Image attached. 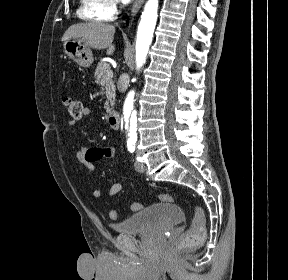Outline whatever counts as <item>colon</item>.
<instances>
[{
  "mask_svg": "<svg viewBox=\"0 0 288 280\" xmlns=\"http://www.w3.org/2000/svg\"><path fill=\"white\" fill-rule=\"evenodd\" d=\"M63 105L68 111L69 115L74 119H80L83 116V105L82 103L71 97H64ZM160 201L162 202H173L175 197L170 194H162L159 196ZM143 205L140 202H135L131 205V209L133 211L140 210ZM109 217L112 220H116L118 218V211L111 210L109 213ZM206 237V219L205 214L201 207L194 206L193 210V220L191 227L188 231L182 236L180 240L181 248H191L203 243Z\"/></svg>",
  "mask_w": 288,
  "mask_h": 280,
  "instance_id": "5ec220e1",
  "label": "colon"
}]
</instances>
